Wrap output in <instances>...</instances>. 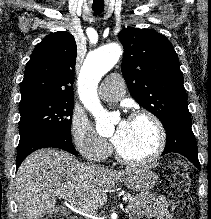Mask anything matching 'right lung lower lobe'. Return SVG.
Instances as JSON below:
<instances>
[{
    "label": "right lung lower lobe",
    "mask_w": 211,
    "mask_h": 219,
    "mask_svg": "<svg viewBox=\"0 0 211 219\" xmlns=\"http://www.w3.org/2000/svg\"><path fill=\"white\" fill-rule=\"evenodd\" d=\"M46 147L60 148L70 152L71 154L77 155V151L75 150L71 140L50 133L38 134L29 137L23 141H19L16 169H18L22 161L30 153L40 148H46Z\"/></svg>",
    "instance_id": "98d812e1"
}]
</instances>
